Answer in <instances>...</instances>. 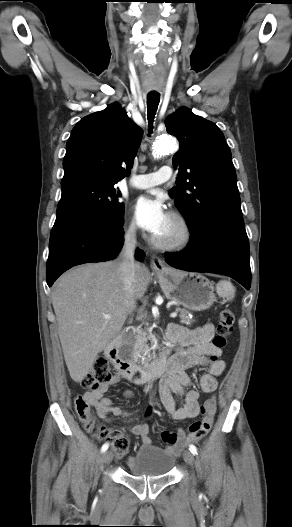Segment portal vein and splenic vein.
Here are the masks:
<instances>
[{"label": "portal vein and splenic vein", "instance_id": "portal-vein-and-splenic-vein-1", "mask_svg": "<svg viewBox=\"0 0 292 527\" xmlns=\"http://www.w3.org/2000/svg\"><path fill=\"white\" fill-rule=\"evenodd\" d=\"M176 316H177V312H172V313L170 314V317H171V318H175ZM104 318H105V319H110V318H111V315L105 314V315H104Z\"/></svg>", "mask_w": 292, "mask_h": 527}]
</instances>
